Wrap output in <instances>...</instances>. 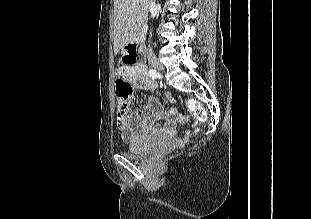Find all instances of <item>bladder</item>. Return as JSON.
Returning <instances> with one entry per match:
<instances>
[{"instance_id":"obj_1","label":"bladder","mask_w":311,"mask_h":219,"mask_svg":"<svg viewBox=\"0 0 311 219\" xmlns=\"http://www.w3.org/2000/svg\"><path fill=\"white\" fill-rule=\"evenodd\" d=\"M152 152V147L144 145L141 141H134L129 144L125 156L130 159H139Z\"/></svg>"}]
</instances>
